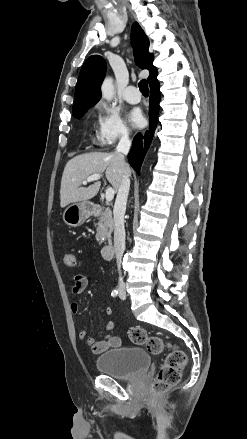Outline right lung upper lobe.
I'll return each instance as SVG.
<instances>
[{
	"label": "right lung upper lobe",
	"instance_id": "cb5924a9",
	"mask_svg": "<svg viewBox=\"0 0 247 439\" xmlns=\"http://www.w3.org/2000/svg\"><path fill=\"white\" fill-rule=\"evenodd\" d=\"M131 40L135 62L141 69H148L149 85L157 82V69L153 66L154 56L149 53V40L138 23H134ZM106 62L99 55L90 56L83 64L75 90L73 114L88 110L100 99V86L105 77Z\"/></svg>",
	"mask_w": 247,
	"mask_h": 439
}]
</instances>
